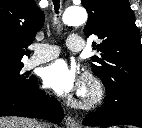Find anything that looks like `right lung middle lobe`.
I'll return each instance as SVG.
<instances>
[{"label":"right lung middle lobe","instance_id":"dd1d6c3e","mask_svg":"<svg viewBox=\"0 0 142 128\" xmlns=\"http://www.w3.org/2000/svg\"><path fill=\"white\" fill-rule=\"evenodd\" d=\"M23 64L15 66L0 65V95L19 94L29 90L36 77L23 73Z\"/></svg>","mask_w":142,"mask_h":128}]
</instances>
